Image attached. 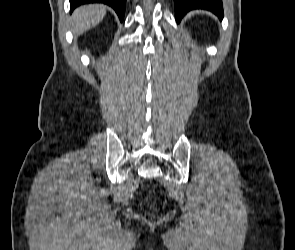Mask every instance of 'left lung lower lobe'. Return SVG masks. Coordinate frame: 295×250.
<instances>
[{
  "mask_svg": "<svg viewBox=\"0 0 295 250\" xmlns=\"http://www.w3.org/2000/svg\"><path fill=\"white\" fill-rule=\"evenodd\" d=\"M175 18L180 22L182 17L193 9H205L223 18L222 0H174Z\"/></svg>",
  "mask_w": 295,
  "mask_h": 250,
  "instance_id": "left-lung-lower-lobe-1",
  "label": "left lung lower lobe"
}]
</instances>
